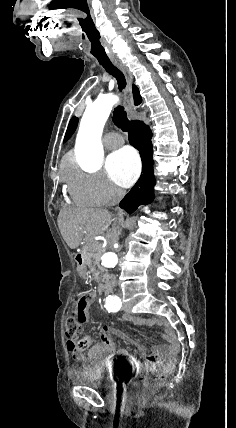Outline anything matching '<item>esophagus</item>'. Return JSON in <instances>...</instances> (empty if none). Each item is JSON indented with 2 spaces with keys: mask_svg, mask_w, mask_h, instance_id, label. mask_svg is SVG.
<instances>
[{
  "mask_svg": "<svg viewBox=\"0 0 236 428\" xmlns=\"http://www.w3.org/2000/svg\"><path fill=\"white\" fill-rule=\"evenodd\" d=\"M116 67L121 70V72L124 73L126 79H127V85L124 92V102H125V109L129 113L133 108V96H132V82H133V75L129 71L128 67L124 65L122 62L114 61L113 62Z\"/></svg>",
  "mask_w": 236,
  "mask_h": 428,
  "instance_id": "1",
  "label": "esophagus"
}]
</instances>
